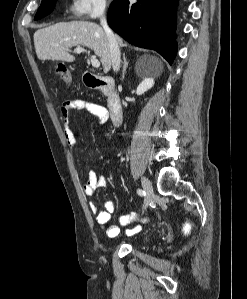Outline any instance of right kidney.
Instances as JSON below:
<instances>
[{"label":"right kidney","mask_w":247,"mask_h":299,"mask_svg":"<svg viewBox=\"0 0 247 299\" xmlns=\"http://www.w3.org/2000/svg\"><path fill=\"white\" fill-rule=\"evenodd\" d=\"M153 86H154V79L149 78V77H145L141 81V83L138 85V87L136 89V94L137 95H142L143 93H145L146 91L151 89Z\"/></svg>","instance_id":"right-kidney-1"}]
</instances>
